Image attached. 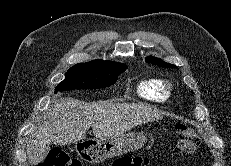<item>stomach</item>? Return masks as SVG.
I'll return each instance as SVG.
<instances>
[{"label": "stomach", "instance_id": "0dacf381", "mask_svg": "<svg viewBox=\"0 0 231 166\" xmlns=\"http://www.w3.org/2000/svg\"><path fill=\"white\" fill-rule=\"evenodd\" d=\"M146 143L144 133H128L116 139H88L76 143L75 150L81 159L99 163L106 158L116 157L127 152L139 150Z\"/></svg>", "mask_w": 231, "mask_h": 166}]
</instances>
